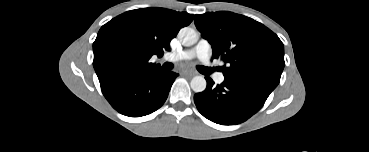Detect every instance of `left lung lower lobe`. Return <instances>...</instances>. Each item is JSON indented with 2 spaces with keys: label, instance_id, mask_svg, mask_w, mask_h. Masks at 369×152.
Returning <instances> with one entry per match:
<instances>
[{
  "label": "left lung lower lobe",
  "instance_id": "obj_1",
  "mask_svg": "<svg viewBox=\"0 0 369 152\" xmlns=\"http://www.w3.org/2000/svg\"><path fill=\"white\" fill-rule=\"evenodd\" d=\"M206 80V89L194 95V102L204 117L221 125L246 121L262 108L272 92L249 83L224 80L214 86L211 78Z\"/></svg>",
  "mask_w": 369,
  "mask_h": 152
}]
</instances>
